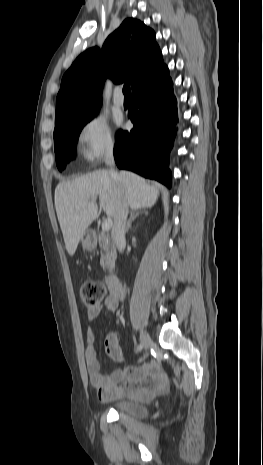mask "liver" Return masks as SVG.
<instances>
[{"label":"liver","mask_w":263,"mask_h":465,"mask_svg":"<svg viewBox=\"0 0 263 465\" xmlns=\"http://www.w3.org/2000/svg\"><path fill=\"white\" fill-rule=\"evenodd\" d=\"M158 188L159 185H150L129 171H120L117 181L108 171H95L60 182L55 189V208L68 254L74 255L81 237L97 216L98 206L90 199L99 196L104 212L114 217L119 190L131 209H140L155 204Z\"/></svg>","instance_id":"6515ba94"}]
</instances>
